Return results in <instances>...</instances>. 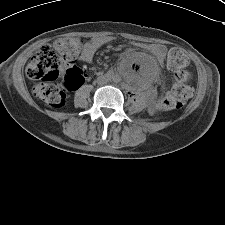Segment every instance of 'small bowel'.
<instances>
[{
  "label": "small bowel",
  "instance_id": "small-bowel-1",
  "mask_svg": "<svg viewBox=\"0 0 225 225\" xmlns=\"http://www.w3.org/2000/svg\"><path fill=\"white\" fill-rule=\"evenodd\" d=\"M110 41L109 37H96L83 45L81 60L85 63H91L97 50ZM146 49L159 61L163 62L166 55V47L160 44L146 46ZM130 50H127L129 53Z\"/></svg>",
  "mask_w": 225,
  "mask_h": 225
}]
</instances>
